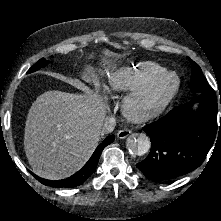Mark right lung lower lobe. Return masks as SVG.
Segmentation results:
<instances>
[{
	"instance_id": "obj_1",
	"label": "right lung lower lobe",
	"mask_w": 221,
	"mask_h": 221,
	"mask_svg": "<svg viewBox=\"0 0 221 221\" xmlns=\"http://www.w3.org/2000/svg\"><path fill=\"white\" fill-rule=\"evenodd\" d=\"M115 136H108L94 151L88 162L75 174L72 176L62 179V180H46L38 177L34 173L32 175L42 184L51 186L54 188H73L82 185L95 171L98 164L100 155L103 149L114 141Z\"/></svg>"
}]
</instances>
